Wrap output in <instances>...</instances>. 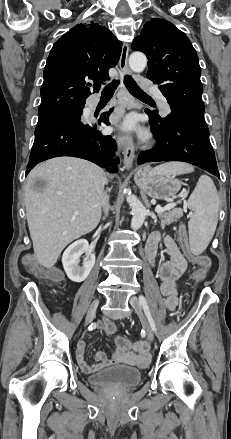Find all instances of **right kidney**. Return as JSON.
Returning a JSON list of instances; mask_svg holds the SVG:
<instances>
[{
    "instance_id": "ca27d5eb",
    "label": "right kidney",
    "mask_w": 231,
    "mask_h": 439,
    "mask_svg": "<svg viewBox=\"0 0 231 439\" xmlns=\"http://www.w3.org/2000/svg\"><path fill=\"white\" fill-rule=\"evenodd\" d=\"M83 253H86V259L80 266L79 262ZM62 264L70 280L84 281L95 264V254L91 252L88 241L80 239L72 243L63 253Z\"/></svg>"
}]
</instances>
